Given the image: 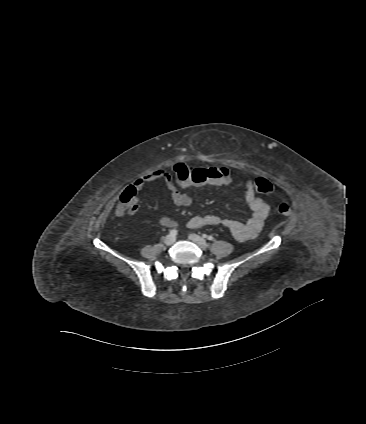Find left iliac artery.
<instances>
[{"mask_svg": "<svg viewBox=\"0 0 366 424\" xmlns=\"http://www.w3.org/2000/svg\"><path fill=\"white\" fill-rule=\"evenodd\" d=\"M203 237L206 238V239H208V240H210V241L214 240V237L211 236V235L204 234Z\"/></svg>", "mask_w": 366, "mask_h": 424, "instance_id": "1", "label": "left iliac artery"}]
</instances>
